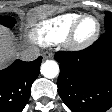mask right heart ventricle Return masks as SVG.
<instances>
[{
  "label": "right heart ventricle",
  "mask_w": 112,
  "mask_h": 112,
  "mask_svg": "<svg viewBox=\"0 0 112 112\" xmlns=\"http://www.w3.org/2000/svg\"><path fill=\"white\" fill-rule=\"evenodd\" d=\"M81 15L80 13L69 12L42 22L33 33L34 40L44 46L55 45L64 41L71 27Z\"/></svg>",
  "instance_id": "right-heart-ventricle-1"
}]
</instances>
